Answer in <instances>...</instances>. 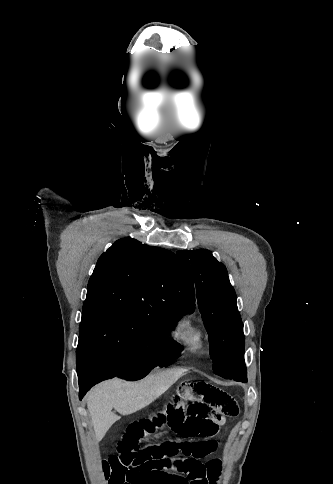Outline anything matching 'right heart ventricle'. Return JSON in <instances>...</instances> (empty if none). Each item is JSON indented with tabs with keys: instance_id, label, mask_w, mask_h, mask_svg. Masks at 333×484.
Returning <instances> with one entry per match:
<instances>
[{
	"instance_id": "right-heart-ventricle-1",
	"label": "right heart ventricle",
	"mask_w": 333,
	"mask_h": 484,
	"mask_svg": "<svg viewBox=\"0 0 333 484\" xmlns=\"http://www.w3.org/2000/svg\"><path fill=\"white\" fill-rule=\"evenodd\" d=\"M176 334L190 352H198L203 348V334L198 324L191 319H183L178 323Z\"/></svg>"
}]
</instances>
